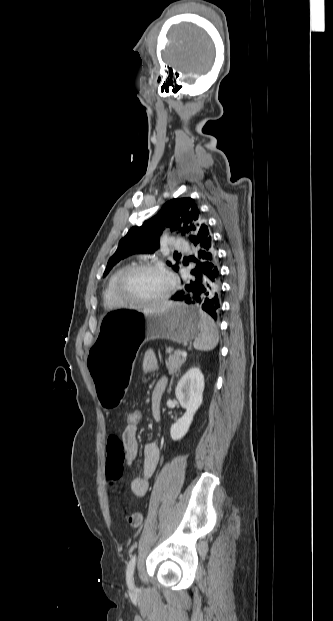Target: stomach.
<instances>
[{"label":"stomach","instance_id":"0dacf381","mask_svg":"<svg viewBox=\"0 0 333 621\" xmlns=\"http://www.w3.org/2000/svg\"><path fill=\"white\" fill-rule=\"evenodd\" d=\"M199 324V311L179 302L160 313L113 310L103 314L99 336L89 345L90 378L103 410L118 409L140 345L154 339L188 343L199 334Z\"/></svg>","mask_w":333,"mask_h":621}]
</instances>
